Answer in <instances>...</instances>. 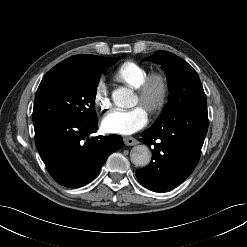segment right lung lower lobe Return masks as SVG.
Here are the masks:
<instances>
[{
  "label": "right lung lower lobe",
  "instance_id": "right-lung-lower-lobe-1",
  "mask_svg": "<svg viewBox=\"0 0 247 247\" xmlns=\"http://www.w3.org/2000/svg\"><path fill=\"white\" fill-rule=\"evenodd\" d=\"M97 129V120L78 118L34 123L37 150L49 174L60 185L77 188L88 184L109 155L122 148L119 135L87 138Z\"/></svg>",
  "mask_w": 247,
  "mask_h": 247
}]
</instances>
